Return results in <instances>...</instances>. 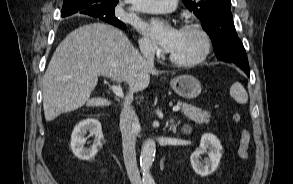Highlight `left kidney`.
<instances>
[{
  "instance_id": "left-kidney-1",
  "label": "left kidney",
  "mask_w": 293,
  "mask_h": 184,
  "mask_svg": "<svg viewBox=\"0 0 293 184\" xmlns=\"http://www.w3.org/2000/svg\"><path fill=\"white\" fill-rule=\"evenodd\" d=\"M204 153L208 154V158L201 162L199 158ZM222 154L223 149L218 138L211 133H205L201 137L199 148L190 157L191 166L195 173L206 177L216 171Z\"/></svg>"
}]
</instances>
